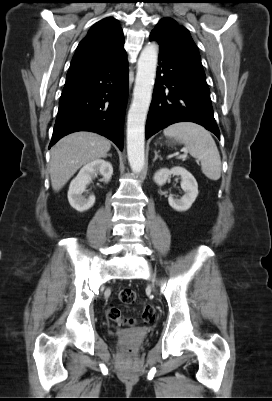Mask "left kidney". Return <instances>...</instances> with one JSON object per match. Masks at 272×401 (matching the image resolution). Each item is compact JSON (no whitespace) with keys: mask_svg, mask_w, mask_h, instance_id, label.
<instances>
[{"mask_svg":"<svg viewBox=\"0 0 272 401\" xmlns=\"http://www.w3.org/2000/svg\"><path fill=\"white\" fill-rule=\"evenodd\" d=\"M181 176V188L184 191V195L181 199H174L169 196V205L176 211H186L194 203L198 196V184L193 175L182 167H173L172 169H160L154 174L153 180L158 185H164L170 175Z\"/></svg>","mask_w":272,"mask_h":401,"instance_id":"1","label":"left kidney"}]
</instances>
